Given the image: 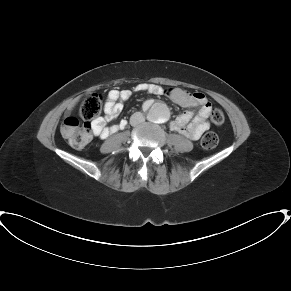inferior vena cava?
<instances>
[{
	"label": "inferior vena cava",
	"instance_id": "obj_1",
	"mask_svg": "<svg viewBox=\"0 0 291 291\" xmlns=\"http://www.w3.org/2000/svg\"><path fill=\"white\" fill-rule=\"evenodd\" d=\"M145 121V117L141 112H136L130 117L131 126H138Z\"/></svg>",
	"mask_w": 291,
	"mask_h": 291
}]
</instances>
